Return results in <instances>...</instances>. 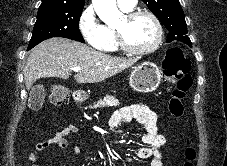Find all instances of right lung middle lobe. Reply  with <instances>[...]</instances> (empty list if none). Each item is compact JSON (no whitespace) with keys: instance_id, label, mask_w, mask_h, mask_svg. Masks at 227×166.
Returning a JSON list of instances; mask_svg holds the SVG:
<instances>
[{"instance_id":"dd1d6c3e","label":"right lung middle lobe","mask_w":227,"mask_h":166,"mask_svg":"<svg viewBox=\"0 0 227 166\" xmlns=\"http://www.w3.org/2000/svg\"><path fill=\"white\" fill-rule=\"evenodd\" d=\"M81 13L82 9L75 8H39L28 47L33 48L52 37H64L84 43L78 27Z\"/></svg>"}]
</instances>
